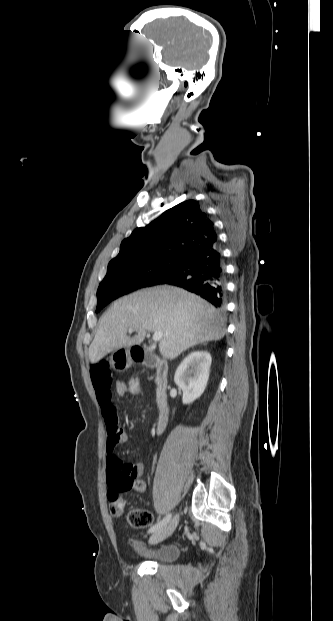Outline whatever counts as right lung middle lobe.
<instances>
[{
  "label": "right lung middle lobe",
  "mask_w": 333,
  "mask_h": 621,
  "mask_svg": "<svg viewBox=\"0 0 333 621\" xmlns=\"http://www.w3.org/2000/svg\"><path fill=\"white\" fill-rule=\"evenodd\" d=\"M179 257H160L126 263L109 264L97 291L99 312L112 300L134 290L160 284L176 273L182 264Z\"/></svg>",
  "instance_id": "obj_1"
}]
</instances>
